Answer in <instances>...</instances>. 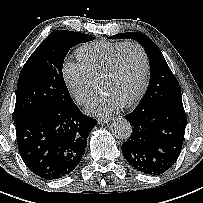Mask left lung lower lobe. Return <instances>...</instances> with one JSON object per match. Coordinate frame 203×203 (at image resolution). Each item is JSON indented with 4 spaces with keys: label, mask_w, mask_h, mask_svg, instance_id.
<instances>
[{
    "label": "left lung lower lobe",
    "mask_w": 203,
    "mask_h": 203,
    "mask_svg": "<svg viewBox=\"0 0 203 203\" xmlns=\"http://www.w3.org/2000/svg\"><path fill=\"white\" fill-rule=\"evenodd\" d=\"M124 118L133 130L122 145L129 164L148 175H160L171 168L184 140L187 117L183 105L135 108Z\"/></svg>",
    "instance_id": "left-lung-lower-lobe-1"
}]
</instances>
